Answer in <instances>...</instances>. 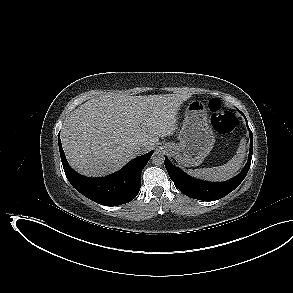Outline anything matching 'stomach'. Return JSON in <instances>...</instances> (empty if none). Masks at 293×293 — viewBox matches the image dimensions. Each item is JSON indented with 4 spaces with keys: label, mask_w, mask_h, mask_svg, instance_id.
I'll list each match as a JSON object with an SVG mask.
<instances>
[{
    "label": "stomach",
    "mask_w": 293,
    "mask_h": 293,
    "mask_svg": "<svg viewBox=\"0 0 293 293\" xmlns=\"http://www.w3.org/2000/svg\"><path fill=\"white\" fill-rule=\"evenodd\" d=\"M178 138L179 143H166L164 148L185 167L200 165L212 150L215 137L201 101L193 100L188 104Z\"/></svg>",
    "instance_id": "1"
}]
</instances>
